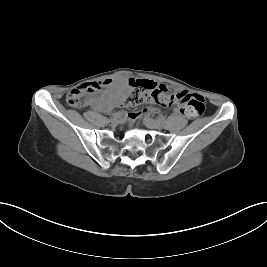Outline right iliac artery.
<instances>
[{"label":"right iliac artery","mask_w":267,"mask_h":267,"mask_svg":"<svg viewBox=\"0 0 267 267\" xmlns=\"http://www.w3.org/2000/svg\"><path fill=\"white\" fill-rule=\"evenodd\" d=\"M120 115H121V112H116V113L112 114V116L110 118L114 119V118L120 117Z\"/></svg>","instance_id":"82829eb1"}]
</instances>
